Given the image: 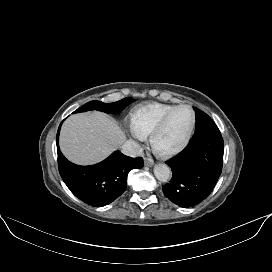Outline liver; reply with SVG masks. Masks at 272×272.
<instances>
[{
  "label": "liver",
  "instance_id": "1",
  "mask_svg": "<svg viewBox=\"0 0 272 272\" xmlns=\"http://www.w3.org/2000/svg\"><path fill=\"white\" fill-rule=\"evenodd\" d=\"M126 139L117 122L101 112L70 116L60 132L64 156L79 165H92L105 159Z\"/></svg>",
  "mask_w": 272,
  "mask_h": 272
}]
</instances>
